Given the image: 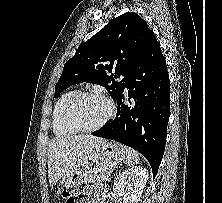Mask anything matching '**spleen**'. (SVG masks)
<instances>
[{
  "label": "spleen",
  "mask_w": 222,
  "mask_h": 203,
  "mask_svg": "<svg viewBox=\"0 0 222 203\" xmlns=\"http://www.w3.org/2000/svg\"><path fill=\"white\" fill-rule=\"evenodd\" d=\"M126 164L131 166L139 163L138 153L132 148L126 147Z\"/></svg>",
  "instance_id": "obj_1"
}]
</instances>
